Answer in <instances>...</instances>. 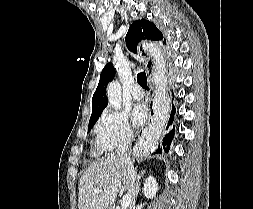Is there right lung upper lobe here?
<instances>
[{
    "instance_id": "cb5924a9",
    "label": "right lung upper lobe",
    "mask_w": 253,
    "mask_h": 209,
    "mask_svg": "<svg viewBox=\"0 0 253 209\" xmlns=\"http://www.w3.org/2000/svg\"><path fill=\"white\" fill-rule=\"evenodd\" d=\"M150 39L153 41H159L163 39L162 33L156 28L155 24L145 20L134 21L128 30L126 35V45L128 49L136 53L137 45L141 40ZM115 69L111 63L106 64L103 68L97 89L92 98V115L91 119L99 118L102 111L108 105V99L106 97V87L108 83L114 79Z\"/></svg>"
}]
</instances>
